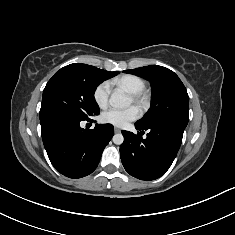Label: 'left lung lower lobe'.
Here are the masks:
<instances>
[{"mask_svg": "<svg viewBox=\"0 0 235 235\" xmlns=\"http://www.w3.org/2000/svg\"><path fill=\"white\" fill-rule=\"evenodd\" d=\"M136 129L149 130L147 138L140 134L122 131L124 142L120 156L125 170L141 180H154L169 169L180 148L185 127L163 123L143 127L135 123Z\"/></svg>", "mask_w": 235, "mask_h": 235, "instance_id": "0a47b994", "label": "left lung lower lobe"}]
</instances>
